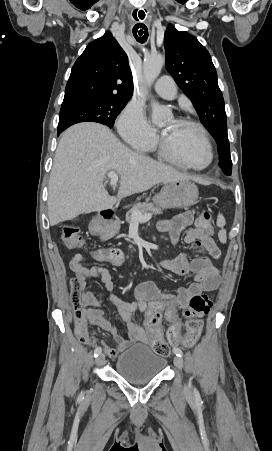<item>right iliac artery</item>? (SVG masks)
<instances>
[{
  "mask_svg": "<svg viewBox=\"0 0 272 451\" xmlns=\"http://www.w3.org/2000/svg\"><path fill=\"white\" fill-rule=\"evenodd\" d=\"M101 352H102L101 347H97V348L94 350V357H98V355H100ZM79 399H81V400L84 399V392H81V394L79 395Z\"/></svg>",
  "mask_w": 272,
  "mask_h": 451,
  "instance_id": "82829eb1",
  "label": "right iliac artery"
}]
</instances>
